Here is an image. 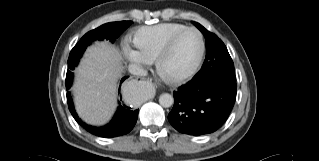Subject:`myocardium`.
Masks as SVG:
<instances>
[{"label": "myocardium", "instance_id": "obj_1", "mask_svg": "<svg viewBox=\"0 0 319 161\" xmlns=\"http://www.w3.org/2000/svg\"><path fill=\"white\" fill-rule=\"evenodd\" d=\"M193 31L198 35L199 38V54L198 57L195 61V63L193 64V66L180 74H168L164 71L163 69V63L166 59V57L169 55V53L171 52V50L173 49L175 43L177 42V40L185 33ZM205 54V42H204V37L203 34L195 27H187L183 30H180L178 32H176L175 34H173L165 43V45L163 46V48L161 49L160 53L158 54L156 61H155V69H156V73L165 81L170 82V83H179V82H183L187 79H189L190 77H192L200 68L202 61H203V57Z\"/></svg>", "mask_w": 319, "mask_h": 161}]
</instances>
